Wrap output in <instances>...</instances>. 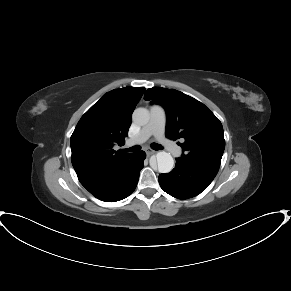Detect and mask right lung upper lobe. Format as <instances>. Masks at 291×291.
Masks as SVG:
<instances>
[{
  "mask_svg": "<svg viewBox=\"0 0 291 291\" xmlns=\"http://www.w3.org/2000/svg\"><path fill=\"white\" fill-rule=\"evenodd\" d=\"M144 87H124L105 93L79 120L70 140L72 165L77 176L114 166L131 154L122 146L131 125L132 112Z\"/></svg>",
  "mask_w": 291,
  "mask_h": 291,
  "instance_id": "right-lung-upper-lobe-1",
  "label": "right lung upper lobe"
}]
</instances>
